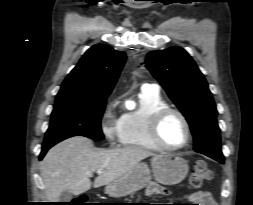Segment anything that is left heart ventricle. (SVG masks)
<instances>
[{"mask_svg":"<svg viewBox=\"0 0 253 205\" xmlns=\"http://www.w3.org/2000/svg\"><path fill=\"white\" fill-rule=\"evenodd\" d=\"M162 140L171 146L182 144L186 139V129L179 117L169 116L161 126Z\"/></svg>","mask_w":253,"mask_h":205,"instance_id":"1","label":"left heart ventricle"}]
</instances>
